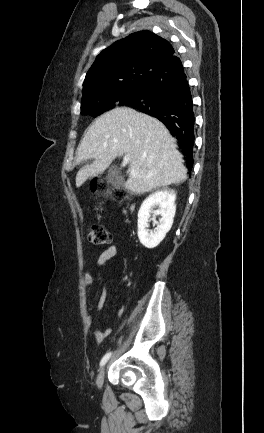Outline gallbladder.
Masks as SVG:
<instances>
[{
	"label": "gallbladder",
	"mask_w": 264,
	"mask_h": 433,
	"mask_svg": "<svg viewBox=\"0 0 264 433\" xmlns=\"http://www.w3.org/2000/svg\"><path fill=\"white\" fill-rule=\"evenodd\" d=\"M107 180L117 189L124 186V181L118 174V170L115 166H112L107 173Z\"/></svg>",
	"instance_id": "obj_1"
}]
</instances>
